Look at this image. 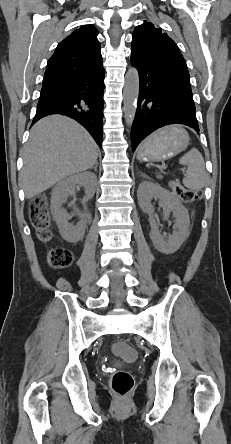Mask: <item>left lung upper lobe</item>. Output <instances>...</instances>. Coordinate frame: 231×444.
<instances>
[{
	"instance_id": "1",
	"label": "left lung upper lobe",
	"mask_w": 231,
	"mask_h": 444,
	"mask_svg": "<svg viewBox=\"0 0 231 444\" xmlns=\"http://www.w3.org/2000/svg\"><path fill=\"white\" fill-rule=\"evenodd\" d=\"M131 58L171 68L189 80L186 62L176 43L150 22L137 26L133 32Z\"/></svg>"
}]
</instances>
